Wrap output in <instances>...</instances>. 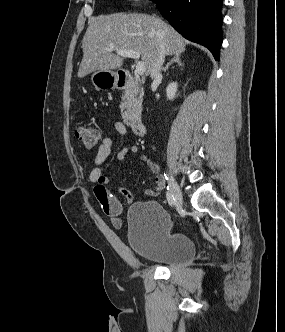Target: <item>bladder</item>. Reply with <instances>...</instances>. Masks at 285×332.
Returning a JSON list of instances; mask_svg holds the SVG:
<instances>
[{"label": "bladder", "mask_w": 285, "mask_h": 332, "mask_svg": "<svg viewBox=\"0 0 285 332\" xmlns=\"http://www.w3.org/2000/svg\"><path fill=\"white\" fill-rule=\"evenodd\" d=\"M127 240L138 257L168 267H184L196 258L193 241L172 230L168 213L155 201L131 206L127 215Z\"/></svg>", "instance_id": "31cf9c89"}]
</instances>
